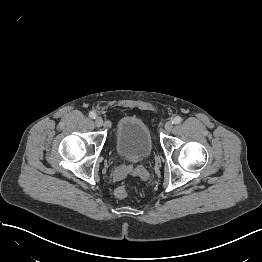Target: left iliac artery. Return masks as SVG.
<instances>
[{"label":"left iliac artery","instance_id":"obj_1","mask_svg":"<svg viewBox=\"0 0 262 262\" xmlns=\"http://www.w3.org/2000/svg\"><path fill=\"white\" fill-rule=\"evenodd\" d=\"M182 121V118L180 116H176L173 120V124H179Z\"/></svg>","mask_w":262,"mask_h":262}]
</instances>
